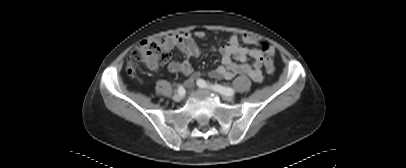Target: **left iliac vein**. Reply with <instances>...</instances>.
I'll use <instances>...</instances> for the list:
<instances>
[{
    "mask_svg": "<svg viewBox=\"0 0 406 168\" xmlns=\"http://www.w3.org/2000/svg\"><path fill=\"white\" fill-rule=\"evenodd\" d=\"M208 91H212L210 89H207ZM222 98L226 101H232L234 99L233 95H222Z\"/></svg>",
    "mask_w": 406,
    "mask_h": 168,
    "instance_id": "obj_1",
    "label": "left iliac vein"
}]
</instances>
